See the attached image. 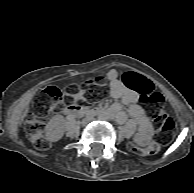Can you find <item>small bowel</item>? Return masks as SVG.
Returning <instances> with one entry per match:
<instances>
[{"mask_svg": "<svg viewBox=\"0 0 194 193\" xmlns=\"http://www.w3.org/2000/svg\"><path fill=\"white\" fill-rule=\"evenodd\" d=\"M109 81L110 95L127 106V110L122 108L120 103H114L112 111L119 122H125L127 115L131 116L138 125L137 140L141 144H147L151 138L152 126L144 109L137 104L138 92L128 87L123 80L119 79L117 71L111 70L107 74Z\"/></svg>", "mask_w": 194, "mask_h": 193, "instance_id": "obj_1", "label": "small bowel"}]
</instances>
